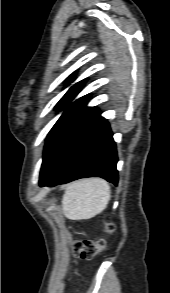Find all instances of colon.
Segmentation results:
<instances>
[{"label": "colon", "instance_id": "1", "mask_svg": "<svg viewBox=\"0 0 170 293\" xmlns=\"http://www.w3.org/2000/svg\"><path fill=\"white\" fill-rule=\"evenodd\" d=\"M115 226L110 222L104 223V232L108 235L114 232ZM106 248L105 238L77 240L73 245V255L80 260H91Z\"/></svg>", "mask_w": 170, "mask_h": 293}]
</instances>
